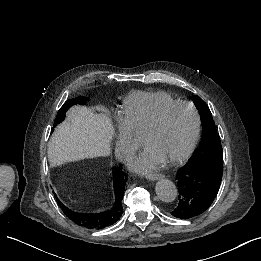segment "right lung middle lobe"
Listing matches in <instances>:
<instances>
[{
	"instance_id": "right-lung-middle-lobe-1",
	"label": "right lung middle lobe",
	"mask_w": 261,
	"mask_h": 261,
	"mask_svg": "<svg viewBox=\"0 0 261 261\" xmlns=\"http://www.w3.org/2000/svg\"><path fill=\"white\" fill-rule=\"evenodd\" d=\"M85 103H86V98H84V97H78L76 99H71L69 101H66L63 104V106L60 108V110L58 111L53 127H56V124H58V123H60L64 120L65 115H66V111H67L68 108H70L71 106H73L75 104L84 105ZM53 130H54V128H52V131Z\"/></svg>"
}]
</instances>
